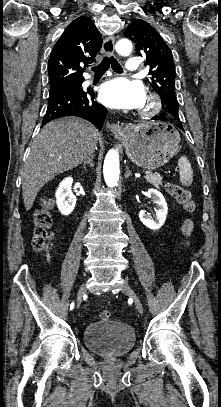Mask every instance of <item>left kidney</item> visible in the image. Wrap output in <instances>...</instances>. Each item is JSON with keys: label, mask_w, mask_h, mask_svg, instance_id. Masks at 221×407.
<instances>
[{"label": "left kidney", "mask_w": 221, "mask_h": 407, "mask_svg": "<svg viewBox=\"0 0 221 407\" xmlns=\"http://www.w3.org/2000/svg\"><path fill=\"white\" fill-rule=\"evenodd\" d=\"M147 196L157 204L158 209L156 210L155 219L148 217L144 211H140L139 218L140 221L151 230H158L163 226L166 216L168 213V206L164 196L156 189H149L147 191Z\"/></svg>", "instance_id": "obj_1"}]
</instances>
